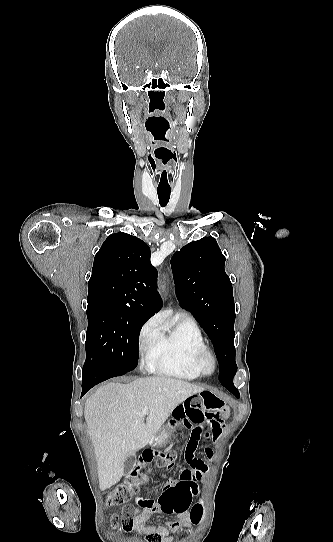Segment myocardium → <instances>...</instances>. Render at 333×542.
Listing matches in <instances>:
<instances>
[{"label":"myocardium","instance_id":"1","mask_svg":"<svg viewBox=\"0 0 333 542\" xmlns=\"http://www.w3.org/2000/svg\"><path fill=\"white\" fill-rule=\"evenodd\" d=\"M200 238V237H199ZM210 362V368L206 369L205 361ZM194 364L200 375H212L217 368V360L214 353L206 346L200 348L194 357Z\"/></svg>","mask_w":333,"mask_h":542}]
</instances>
